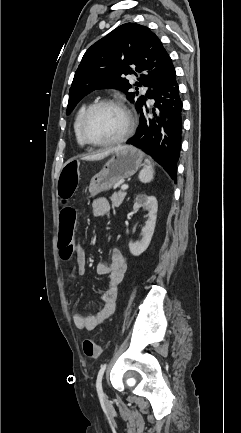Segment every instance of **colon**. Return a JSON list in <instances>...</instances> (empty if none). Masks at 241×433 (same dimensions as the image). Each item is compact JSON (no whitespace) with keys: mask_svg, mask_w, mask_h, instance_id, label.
I'll return each instance as SVG.
<instances>
[{"mask_svg":"<svg viewBox=\"0 0 241 433\" xmlns=\"http://www.w3.org/2000/svg\"><path fill=\"white\" fill-rule=\"evenodd\" d=\"M79 157H68L64 161L59 171L57 187L58 201H73L75 186H78V176L82 174ZM79 215L78 207H61L60 217L57 218V225L60 228L58 247L60 257L68 262L73 251L80 250V245L76 241V228ZM83 351L88 358H97L101 354V346L92 339L83 342Z\"/></svg>","mask_w":241,"mask_h":433,"instance_id":"1","label":"colon"}]
</instances>
